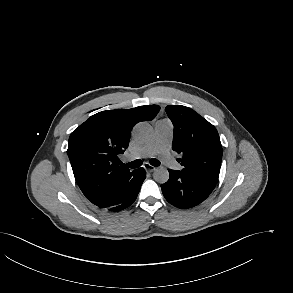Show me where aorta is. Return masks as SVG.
<instances>
[{
  "label": "aorta",
  "mask_w": 293,
  "mask_h": 293,
  "mask_svg": "<svg viewBox=\"0 0 293 293\" xmlns=\"http://www.w3.org/2000/svg\"><path fill=\"white\" fill-rule=\"evenodd\" d=\"M132 135L135 141L144 143L151 139L153 129L147 122H140L133 128ZM153 178L158 183H166L169 179V172L166 168L159 167L154 171Z\"/></svg>",
  "instance_id": "aorta-1"
}]
</instances>
